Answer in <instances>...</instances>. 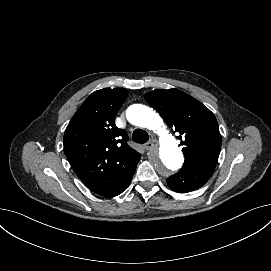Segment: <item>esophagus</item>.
Returning a JSON list of instances; mask_svg holds the SVG:
<instances>
[{
    "label": "esophagus",
    "mask_w": 271,
    "mask_h": 271,
    "mask_svg": "<svg viewBox=\"0 0 271 271\" xmlns=\"http://www.w3.org/2000/svg\"><path fill=\"white\" fill-rule=\"evenodd\" d=\"M144 149L145 150H152L154 147H155V144L153 142H147L143 145Z\"/></svg>",
    "instance_id": "obj_1"
}]
</instances>
